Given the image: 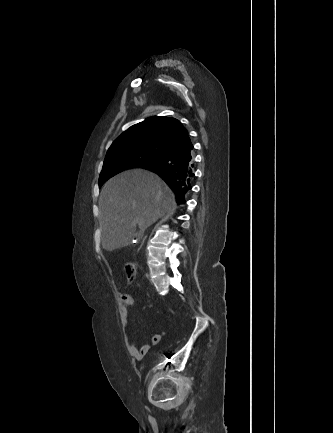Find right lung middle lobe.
<instances>
[{"label":"right lung middle lobe","mask_w":333,"mask_h":433,"mask_svg":"<svg viewBox=\"0 0 333 433\" xmlns=\"http://www.w3.org/2000/svg\"><path fill=\"white\" fill-rule=\"evenodd\" d=\"M167 155V152L159 148H118L105 157L99 177V187L110 177L125 169L133 167L146 168L161 161Z\"/></svg>","instance_id":"dd1d6c3e"}]
</instances>
